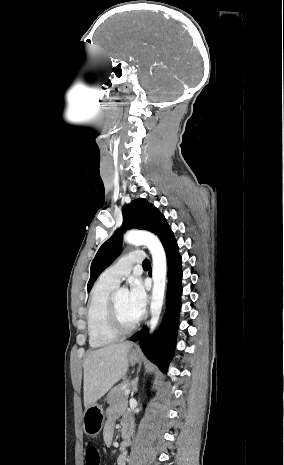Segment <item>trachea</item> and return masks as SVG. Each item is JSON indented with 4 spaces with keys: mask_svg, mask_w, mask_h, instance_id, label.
<instances>
[{
    "mask_svg": "<svg viewBox=\"0 0 284 465\" xmlns=\"http://www.w3.org/2000/svg\"><path fill=\"white\" fill-rule=\"evenodd\" d=\"M143 267L144 268H150V261L148 259L144 260Z\"/></svg>",
    "mask_w": 284,
    "mask_h": 465,
    "instance_id": "1",
    "label": "trachea"
}]
</instances>
